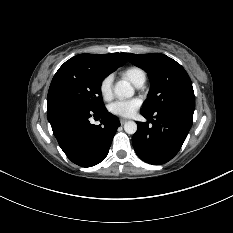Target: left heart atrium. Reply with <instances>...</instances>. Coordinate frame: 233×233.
Returning a JSON list of instances; mask_svg holds the SVG:
<instances>
[{
  "label": "left heart atrium",
  "mask_w": 233,
  "mask_h": 233,
  "mask_svg": "<svg viewBox=\"0 0 233 233\" xmlns=\"http://www.w3.org/2000/svg\"><path fill=\"white\" fill-rule=\"evenodd\" d=\"M141 106V100L133 98L130 100H117L108 106L111 114L120 117H131Z\"/></svg>",
  "instance_id": "39dd6f15"
}]
</instances>
